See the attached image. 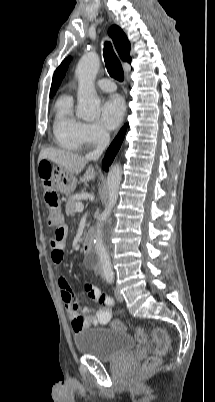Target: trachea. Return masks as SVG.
<instances>
[{
    "instance_id": "obj_1",
    "label": "trachea",
    "mask_w": 215,
    "mask_h": 402,
    "mask_svg": "<svg viewBox=\"0 0 215 402\" xmlns=\"http://www.w3.org/2000/svg\"><path fill=\"white\" fill-rule=\"evenodd\" d=\"M103 56L110 76L118 81H123L124 72L110 42L105 43Z\"/></svg>"
}]
</instances>
